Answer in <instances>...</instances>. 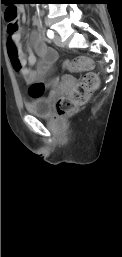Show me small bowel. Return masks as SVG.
Wrapping results in <instances>:
<instances>
[{
    "label": "small bowel",
    "instance_id": "obj_1",
    "mask_svg": "<svg viewBox=\"0 0 122 257\" xmlns=\"http://www.w3.org/2000/svg\"><path fill=\"white\" fill-rule=\"evenodd\" d=\"M17 11L21 14L22 18H25V9L22 6ZM33 25L35 30L30 36V42L26 46V52L22 46V30L18 27L14 33H10L7 25L9 34L7 42L8 64H12L11 73H18V78H24L27 83L39 82L40 79H46L51 74L53 65L57 59V53L47 46L41 36L39 30L41 22L39 18L35 17L33 19ZM33 51L40 57L39 61ZM33 66H36L35 69H33Z\"/></svg>",
    "mask_w": 122,
    "mask_h": 257
}]
</instances>
